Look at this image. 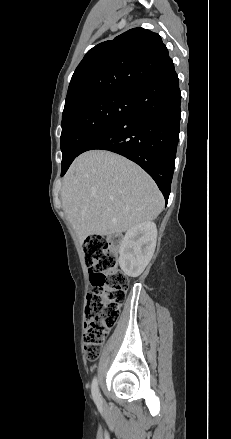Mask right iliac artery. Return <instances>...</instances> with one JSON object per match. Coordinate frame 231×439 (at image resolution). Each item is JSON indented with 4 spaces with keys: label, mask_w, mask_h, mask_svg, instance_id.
I'll return each instance as SVG.
<instances>
[{
    "label": "right iliac artery",
    "mask_w": 231,
    "mask_h": 439,
    "mask_svg": "<svg viewBox=\"0 0 231 439\" xmlns=\"http://www.w3.org/2000/svg\"><path fill=\"white\" fill-rule=\"evenodd\" d=\"M91 391H92V396H93V399H94L96 405L98 407H101L103 404V401H102L101 393L99 391L97 378H94L92 381Z\"/></svg>",
    "instance_id": "1"
}]
</instances>
